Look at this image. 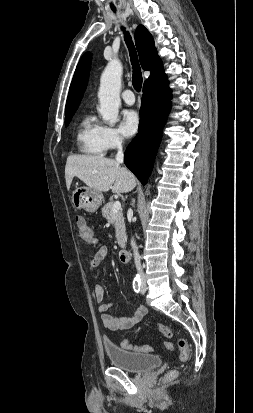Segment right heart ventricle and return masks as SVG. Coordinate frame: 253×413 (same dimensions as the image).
<instances>
[{"label": "right heart ventricle", "mask_w": 253, "mask_h": 413, "mask_svg": "<svg viewBox=\"0 0 253 413\" xmlns=\"http://www.w3.org/2000/svg\"><path fill=\"white\" fill-rule=\"evenodd\" d=\"M102 126L92 115H86L79 123L76 135L78 150L92 156H102L105 149L101 140Z\"/></svg>", "instance_id": "right-heart-ventricle-1"}]
</instances>
